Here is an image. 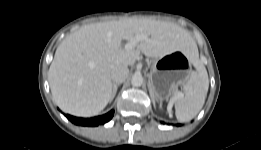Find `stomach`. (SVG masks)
I'll list each match as a JSON object with an SVG mask.
<instances>
[{
  "label": "stomach",
  "mask_w": 261,
  "mask_h": 150,
  "mask_svg": "<svg viewBox=\"0 0 261 150\" xmlns=\"http://www.w3.org/2000/svg\"><path fill=\"white\" fill-rule=\"evenodd\" d=\"M191 62V58L182 51H174L157 58L152 64L149 76L151 96L161 100L175 93L189 78Z\"/></svg>",
  "instance_id": "stomach-1"
}]
</instances>
